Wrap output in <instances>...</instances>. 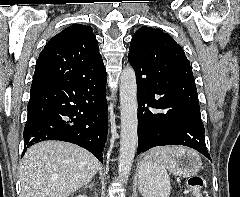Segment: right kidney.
<instances>
[{
  "label": "right kidney",
  "mask_w": 240,
  "mask_h": 197,
  "mask_svg": "<svg viewBox=\"0 0 240 197\" xmlns=\"http://www.w3.org/2000/svg\"><path fill=\"white\" fill-rule=\"evenodd\" d=\"M76 197H87L86 195H78Z\"/></svg>",
  "instance_id": "ca27d5eb"
}]
</instances>
